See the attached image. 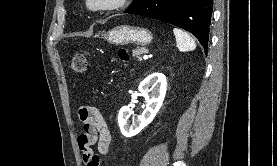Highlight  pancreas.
Instances as JSON below:
<instances>
[{"instance_id": "1", "label": "pancreas", "mask_w": 277, "mask_h": 166, "mask_svg": "<svg viewBox=\"0 0 277 166\" xmlns=\"http://www.w3.org/2000/svg\"><path fill=\"white\" fill-rule=\"evenodd\" d=\"M146 52H147V49L138 47L132 51V55L133 57H136L138 60H141V55Z\"/></svg>"}]
</instances>
